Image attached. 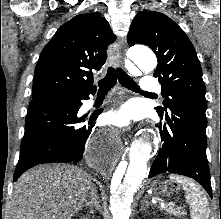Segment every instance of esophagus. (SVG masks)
<instances>
[{
    "instance_id": "esophagus-1",
    "label": "esophagus",
    "mask_w": 221,
    "mask_h": 219,
    "mask_svg": "<svg viewBox=\"0 0 221 219\" xmlns=\"http://www.w3.org/2000/svg\"><path fill=\"white\" fill-rule=\"evenodd\" d=\"M110 60L115 65H118V66L123 65V59L121 56V43L119 41H116L115 43L111 45Z\"/></svg>"
}]
</instances>
